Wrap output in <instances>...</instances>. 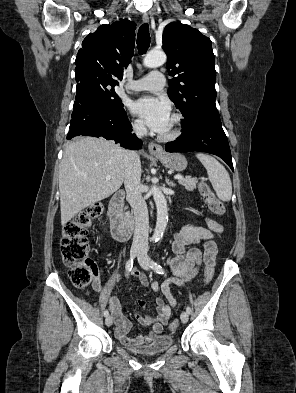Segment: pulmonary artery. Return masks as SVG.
I'll use <instances>...</instances> for the list:
<instances>
[{"instance_id":"e3ab8cb5","label":"pulmonary artery","mask_w":296,"mask_h":393,"mask_svg":"<svg viewBox=\"0 0 296 393\" xmlns=\"http://www.w3.org/2000/svg\"><path fill=\"white\" fill-rule=\"evenodd\" d=\"M164 85V75L160 72H151L139 80L132 81L129 85V89L133 92H139L143 90L157 92L160 91Z\"/></svg>"}]
</instances>
